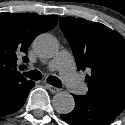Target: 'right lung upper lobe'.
Masks as SVG:
<instances>
[{
    "mask_svg": "<svg viewBox=\"0 0 125 125\" xmlns=\"http://www.w3.org/2000/svg\"><path fill=\"white\" fill-rule=\"evenodd\" d=\"M57 22L56 15L0 13V87L12 81H28L17 71V55L26 53L33 39ZM23 60L27 62L28 58Z\"/></svg>",
    "mask_w": 125,
    "mask_h": 125,
    "instance_id": "right-lung-upper-lobe-1",
    "label": "right lung upper lobe"
}]
</instances>
